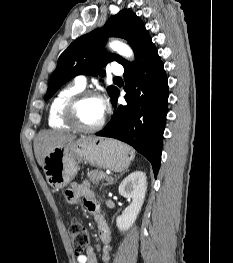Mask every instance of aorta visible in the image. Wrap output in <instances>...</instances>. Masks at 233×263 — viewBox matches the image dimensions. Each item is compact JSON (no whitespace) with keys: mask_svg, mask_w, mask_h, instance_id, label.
Masks as SVG:
<instances>
[{"mask_svg":"<svg viewBox=\"0 0 233 263\" xmlns=\"http://www.w3.org/2000/svg\"><path fill=\"white\" fill-rule=\"evenodd\" d=\"M110 48L125 58H131L133 56V52L130 47L122 42L113 41L110 43Z\"/></svg>","mask_w":233,"mask_h":263,"instance_id":"obj_1","label":"aorta"}]
</instances>
